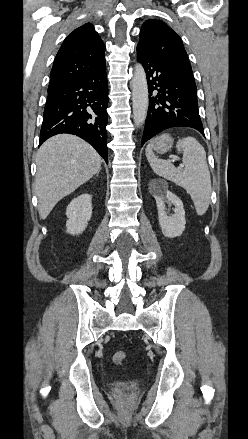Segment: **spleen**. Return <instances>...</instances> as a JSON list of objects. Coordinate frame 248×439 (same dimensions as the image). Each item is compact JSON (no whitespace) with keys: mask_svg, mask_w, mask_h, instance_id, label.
Listing matches in <instances>:
<instances>
[{"mask_svg":"<svg viewBox=\"0 0 248 439\" xmlns=\"http://www.w3.org/2000/svg\"><path fill=\"white\" fill-rule=\"evenodd\" d=\"M177 151L183 154L184 169L176 168L169 161L158 159L149 144L146 157L152 170L159 176L183 187L190 195L197 214L208 210L211 196V178L203 146L193 137L180 139Z\"/></svg>","mask_w":248,"mask_h":439,"instance_id":"3e777b00","label":"spleen"}]
</instances>
